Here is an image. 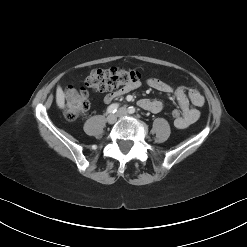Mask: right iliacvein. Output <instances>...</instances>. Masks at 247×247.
Returning a JSON list of instances; mask_svg holds the SVG:
<instances>
[{"label": "right iliac vein", "mask_w": 247, "mask_h": 247, "mask_svg": "<svg viewBox=\"0 0 247 247\" xmlns=\"http://www.w3.org/2000/svg\"><path fill=\"white\" fill-rule=\"evenodd\" d=\"M116 120H117V115H115V114H110L107 117V122L109 124H114L116 122Z\"/></svg>", "instance_id": "1"}]
</instances>
